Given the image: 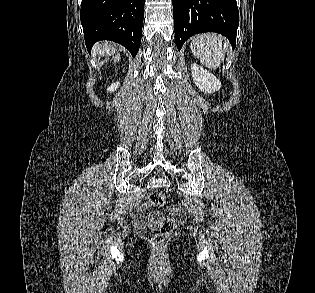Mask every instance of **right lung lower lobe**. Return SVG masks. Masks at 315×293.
<instances>
[{"instance_id": "right-lung-lower-lobe-1", "label": "right lung lower lobe", "mask_w": 315, "mask_h": 293, "mask_svg": "<svg viewBox=\"0 0 315 293\" xmlns=\"http://www.w3.org/2000/svg\"><path fill=\"white\" fill-rule=\"evenodd\" d=\"M143 0H82L81 24L91 51L99 40L123 45L136 56L141 42Z\"/></svg>"}]
</instances>
